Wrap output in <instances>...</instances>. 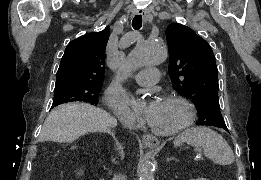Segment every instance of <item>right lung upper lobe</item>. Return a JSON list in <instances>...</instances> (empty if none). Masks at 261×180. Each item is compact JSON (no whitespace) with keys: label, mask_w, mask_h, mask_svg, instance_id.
<instances>
[{"label":"right lung upper lobe","mask_w":261,"mask_h":180,"mask_svg":"<svg viewBox=\"0 0 261 180\" xmlns=\"http://www.w3.org/2000/svg\"><path fill=\"white\" fill-rule=\"evenodd\" d=\"M109 36L110 32L104 29L72 40L61 59L56 86L67 83L103 84Z\"/></svg>","instance_id":"obj_1"}]
</instances>
